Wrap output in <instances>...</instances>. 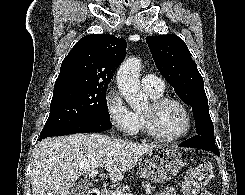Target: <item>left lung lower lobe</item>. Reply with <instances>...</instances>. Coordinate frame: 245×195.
Instances as JSON below:
<instances>
[{
  "label": "left lung lower lobe",
  "instance_id": "1",
  "mask_svg": "<svg viewBox=\"0 0 245 195\" xmlns=\"http://www.w3.org/2000/svg\"><path fill=\"white\" fill-rule=\"evenodd\" d=\"M180 147H192V148H199L203 150H208L216 155H220L218 148L215 145V142L210 141L208 138L197 135L194 136L185 142L179 145Z\"/></svg>",
  "mask_w": 245,
  "mask_h": 195
}]
</instances>
